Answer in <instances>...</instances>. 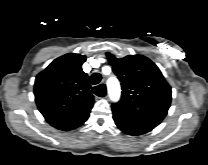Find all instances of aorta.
Returning <instances> with one entry per match:
<instances>
[{"label": "aorta", "instance_id": "1", "mask_svg": "<svg viewBox=\"0 0 208 165\" xmlns=\"http://www.w3.org/2000/svg\"><path fill=\"white\" fill-rule=\"evenodd\" d=\"M108 93L112 101H117L120 97V84L115 77H111L107 81Z\"/></svg>", "mask_w": 208, "mask_h": 165}]
</instances>
